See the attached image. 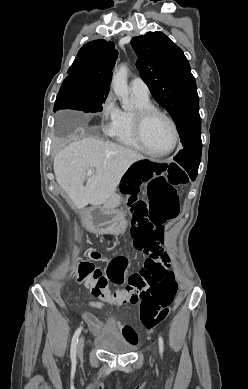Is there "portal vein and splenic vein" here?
I'll use <instances>...</instances> for the list:
<instances>
[{
  "label": "portal vein and splenic vein",
  "instance_id": "18ae733b",
  "mask_svg": "<svg viewBox=\"0 0 248 389\" xmlns=\"http://www.w3.org/2000/svg\"><path fill=\"white\" fill-rule=\"evenodd\" d=\"M92 174H93L92 169H89V170L87 171V175H92Z\"/></svg>",
  "mask_w": 248,
  "mask_h": 389
}]
</instances>
